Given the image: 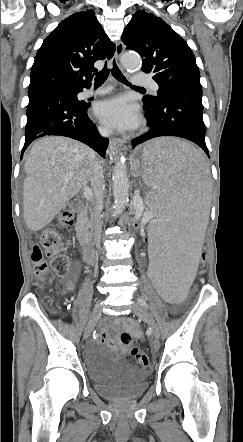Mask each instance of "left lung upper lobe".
Returning <instances> with one entry per match:
<instances>
[{
	"mask_svg": "<svg viewBox=\"0 0 243 442\" xmlns=\"http://www.w3.org/2000/svg\"><path fill=\"white\" fill-rule=\"evenodd\" d=\"M122 41L127 49L142 57V71L154 73L159 85L157 96H145L144 106L155 107L163 92L178 83L200 84L199 68L188 44L161 18L137 11L124 29Z\"/></svg>",
	"mask_w": 243,
	"mask_h": 442,
	"instance_id": "left-lung-upper-lobe-1",
	"label": "left lung upper lobe"
}]
</instances>
